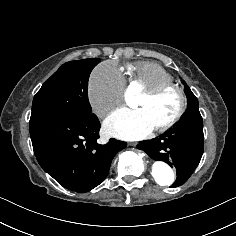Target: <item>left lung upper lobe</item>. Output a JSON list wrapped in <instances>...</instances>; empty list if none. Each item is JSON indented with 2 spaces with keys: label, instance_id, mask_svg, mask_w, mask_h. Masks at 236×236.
Wrapping results in <instances>:
<instances>
[{
  "label": "left lung upper lobe",
  "instance_id": "5c2ea615",
  "mask_svg": "<svg viewBox=\"0 0 236 236\" xmlns=\"http://www.w3.org/2000/svg\"><path fill=\"white\" fill-rule=\"evenodd\" d=\"M184 84V92L187 96V110L184 116L181 118L180 121H187V120H200L202 121L201 114L199 112V104L196 96L192 93L189 86L182 80Z\"/></svg>",
  "mask_w": 236,
  "mask_h": 236
}]
</instances>
